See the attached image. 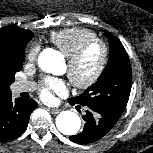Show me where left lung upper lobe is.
<instances>
[{
    "label": "left lung upper lobe",
    "instance_id": "obj_1",
    "mask_svg": "<svg viewBox=\"0 0 153 153\" xmlns=\"http://www.w3.org/2000/svg\"><path fill=\"white\" fill-rule=\"evenodd\" d=\"M109 39V61L92 86L83 94L70 100L87 106L98 116L115 124L125 109L130 91L132 72L128 54L122 43L112 34Z\"/></svg>",
    "mask_w": 153,
    "mask_h": 153
}]
</instances>
